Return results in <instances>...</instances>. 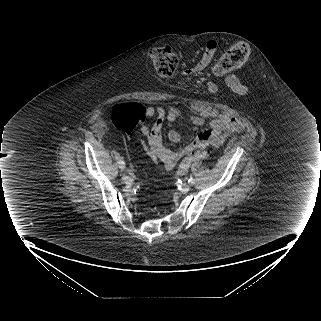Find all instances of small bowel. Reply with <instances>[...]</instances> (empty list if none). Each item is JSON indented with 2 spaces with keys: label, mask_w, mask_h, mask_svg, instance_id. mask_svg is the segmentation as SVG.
Masks as SVG:
<instances>
[{
  "label": "small bowel",
  "mask_w": 321,
  "mask_h": 321,
  "mask_svg": "<svg viewBox=\"0 0 321 321\" xmlns=\"http://www.w3.org/2000/svg\"><path fill=\"white\" fill-rule=\"evenodd\" d=\"M217 49L218 42L216 40H209L200 59L193 67L188 69L187 73L193 74L205 69L214 58ZM225 82L230 86L232 93L235 95H246L250 91L247 83L237 80L232 75L227 76ZM205 88L210 95L215 94L217 91V85L213 81L207 82ZM146 114L149 119L156 117V121L152 126L146 124L141 128V132L147 137L148 154L154 162H160L166 169L171 170L183 156L197 147L196 139L202 132L194 141L179 149L172 150L164 145L162 126L164 122L173 123L178 121L183 117V111L175 107L163 108L161 106H152L147 108ZM189 123L193 130H197L204 124V118L200 115H192L189 118ZM243 128L244 125L240 120L230 116H219L214 118L209 124V129L204 131H209L211 134L210 145L221 146L231 134L240 132ZM168 139L174 143L179 142L181 134L177 130H171L168 133Z\"/></svg>",
  "instance_id": "1"
}]
</instances>
